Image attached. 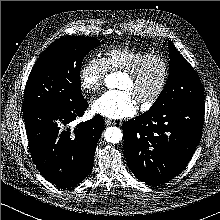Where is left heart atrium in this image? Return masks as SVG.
I'll return each instance as SVG.
<instances>
[{
  "label": "left heart atrium",
  "instance_id": "obj_1",
  "mask_svg": "<svg viewBox=\"0 0 220 220\" xmlns=\"http://www.w3.org/2000/svg\"><path fill=\"white\" fill-rule=\"evenodd\" d=\"M92 111L106 118L120 119L133 116L137 111V103L129 90H110L92 103Z\"/></svg>",
  "mask_w": 220,
  "mask_h": 220
}]
</instances>
